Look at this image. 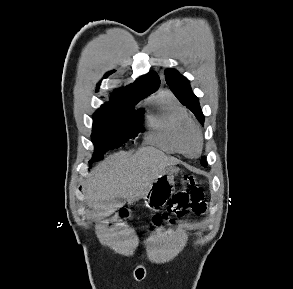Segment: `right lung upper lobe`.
I'll return each instance as SVG.
<instances>
[{"label": "right lung upper lobe", "instance_id": "right-lung-upper-lobe-1", "mask_svg": "<svg viewBox=\"0 0 293 289\" xmlns=\"http://www.w3.org/2000/svg\"><path fill=\"white\" fill-rule=\"evenodd\" d=\"M160 85V79L155 72L138 78L133 84L126 86L120 90H115L110 102L103 106L113 105L121 102L141 100L153 92H155Z\"/></svg>", "mask_w": 293, "mask_h": 289}]
</instances>
